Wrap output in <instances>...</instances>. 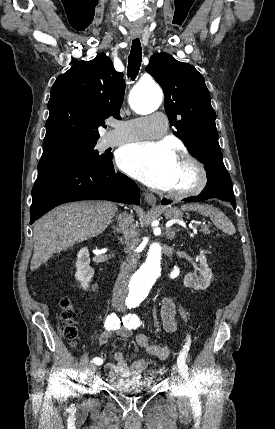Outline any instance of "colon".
I'll list each match as a JSON object with an SVG mask.
<instances>
[{
    "mask_svg": "<svg viewBox=\"0 0 275 429\" xmlns=\"http://www.w3.org/2000/svg\"><path fill=\"white\" fill-rule=\"evenodd\" d=\"M60 307L62 309V317L65 321L63 335L67 340L73 343L78 336V330L75 325V318L77 316L75 306L71 299L63 297L60 300ZM147 376L152 379L157 378V369L153 362H149L147 365Z\"/></svg>",
    "mask_w": 275,
    "mask_h": 429,
    "instance_id": "5ec220e1",
    "label": "colon"
}]
</instances>
